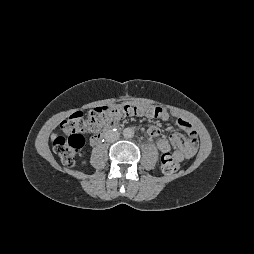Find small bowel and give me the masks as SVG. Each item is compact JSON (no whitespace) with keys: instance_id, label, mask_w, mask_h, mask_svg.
Masks as SVG:
<instances>
[{"instance_id":"c3829d8e","label":"small bowel","mask_w":254,"mask_h":254,"mask_svg":"<svg viewBox=\"0 0 254 254\" xmlns=\"http://www.w3.org/2000/svg\"><path fill=\"white\" fill-rule=\"evenodd\" d=\"M157 117L162 120L168 119V114L160 109V113ZM176 125L187 133V137H184L178 132H174L170 137V142L161 136V131L157 125L151 124L148 126V134L156 141L158 149L164 155H170L176 161H183L192 158L198 146L197 133L192 123L183 117L176 119ZM172 145L177 146L178 150H173Z\"/></svg>"}]
</instances>
